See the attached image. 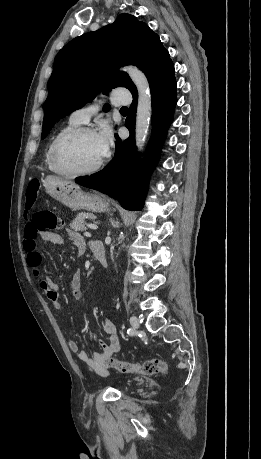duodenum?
Returning <instances> with one entry per match:
<instances>
[{
	"mask_svg": "<svg viewBox=\"0 0 261 459\" xmlns=\"http://www.w3.org/2000/svg\"><path fill=\"white\" fill-rule=\"evenodd\" d=\"M92 252L95 258L103 266H107L106 250L102 242L96 241L91 244Z\"/></svg>",
	"mask_w": 261,
	"mask_h": 459,
	"instance_id": "obj_1",
	"label": "duodenum"
}]
</instances>
